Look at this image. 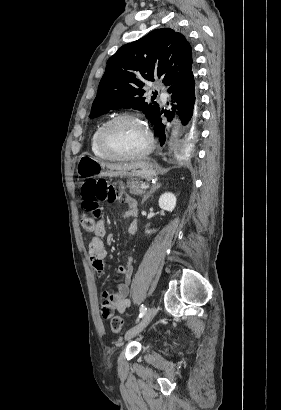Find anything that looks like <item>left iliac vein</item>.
<instances>
[{
  "instance_id": "left-iliac-vein-1",
  "label": "left iliac vein",
  "mask_w": 281,
  "mask_h": 410,
  "mask_svg": "<svg viewBox=\"0 0 281 410\" xmlns=\"http://www.w3.org/2000/svg\"><path fill=\"white\" fill-rule=\"evenodd\" d=\"M156 313H157L156 308L150 307L148 311L145 313V315L143 316V318L125 334L124 340L129 341L135 336H137L140 332H142L148 326L151 320L154 318Z\"/></svg>"
}]
</instances>
